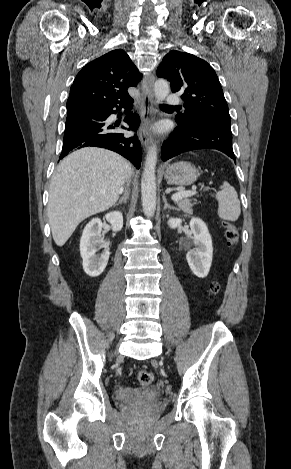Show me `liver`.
Segmentation results:
<instances>
[{"label": "liver", "instance_id": "6515ba94", "mask_svg": "<svg viewBox=\"0 0 291 469\" xmlns=\"http://www.w3.org/2000/svg\"><path fill=\"white\" fill-rule=\"evenodd\" d=\"M131 174L125 158L102 148H82L65 157L49 190L48 218L55 243L63 246L80 222L112 207Z\"/></svg>", "mask_w": 291, "mask_h": 469}]
</instances>
